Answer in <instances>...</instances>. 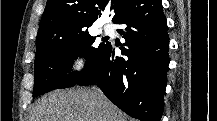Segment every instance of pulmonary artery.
<instances>
[{
	"label": "pulmonary artery",
	"instance_id": "obj_1",
	"mask_svg": "<svg viewBox=\"0 0 217 121\" xmlns=\"http://www.w3.org/2000/svg\"><path fill=\"white\" fill-rule=\"evenodd\" d=\"M103 30H104V32L107 33V34H112V33H114V27H113V25H111V24H105V25L103 26Z\"/></svg>",
	"mask_w": 217,
	"mask_h": 121
}]
</instances>
